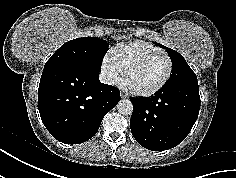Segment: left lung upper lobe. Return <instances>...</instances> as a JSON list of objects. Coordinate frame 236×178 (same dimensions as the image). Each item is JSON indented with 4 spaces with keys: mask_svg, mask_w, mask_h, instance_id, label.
Segmentation results:
<instances>
[{
    "mask_svg": "<svg viewBox=\"0 0 236 178\" xmlns=\"http://www.w3.org/2000/svg\"><path fill=\"white\" fill-rule=\"evenodd\" d=\"M161 48L166 49L172 63V75L166 84L171 83H198L197 77L193 70L189 67L186 60L175 50L165 47L159 43H155Z\"/></svg>",
    "mask_w": 236,
    "mask_h": 178,
    "instance_id": "5c2ea615",
    "label": "left lung upper lobe"
}]
</instances>
